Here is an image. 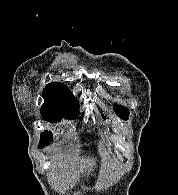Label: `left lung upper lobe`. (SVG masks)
I'll return each instance as SVG.
<instances>
[{"mask_svg":"<svg viewBox=\"0 0 178 195\" xmlns=\"http://www.w3.org/2000/svg\"><path fill=\"white\" fill-rule=\"evenodd\" d=\"M116 114L121 118V119H127L129 115V111L127 108H124L123 106L116 105L114 108Z\"/></svg>","mask_w":178,"mask_h":195,"instance_id":"5c2ea615","label":"left lung upper lobe"}]
</instances>
